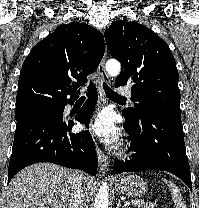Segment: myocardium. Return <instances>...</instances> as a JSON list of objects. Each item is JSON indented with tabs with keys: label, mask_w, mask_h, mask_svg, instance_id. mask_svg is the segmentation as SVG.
I'll list each match as a JSON object with an SVG mask.
<instances>
[{
	"label": "myocardium",
	"mask_w": 199,
	"mask_h": 208,
	"mask_svg": "<svg viewBox=\"0 0 199 208\" xmlns=\"http://www.w3.org/2000/svg\"><path fill=\"white\" fill-rule=\"evenodd\" d=\"M128 153V150L127 149H123L120 151V155H126Z\"/></svg>",
	"instance_id": "myocardium-1"
}]
</instances>
